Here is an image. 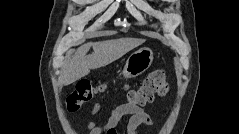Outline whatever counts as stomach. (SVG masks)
<instances>
[{"mask_svg": "<svg viewBox=\"0 0 239 134\" xmlns=\"http://www.w3.org/2000/svg\"><path fill=\"white\" fill-rule=\"evenodd\" d=\"M153 59L154 53L148 47L135 51L125 63L123 76L125 78H134L141 75L151 66Z\"/></svg>", "mask_w": 239, "mask_h": 134, "instance_id": "obj_1", "label": "stomach"}]
</instances>
